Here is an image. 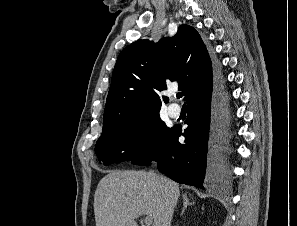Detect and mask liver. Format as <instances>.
Segmentation results:
<instances>
[{"label": "liver", "mask_w": 297, "mask_h": 226, "mask_svg": "<svg viewBox=\"0 0 297 226\" xmlns=\"http://www.w3.org/2000/svg\"><path fill=\"white\" fill-rule=\"evenodd\" d=\"M180 196L179 185L152 171H110L94 195L96 226H138L151 215L153 226H171Z\"/></svg>", "instance_id": "6515ba94"}]
</instances>
